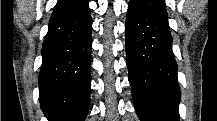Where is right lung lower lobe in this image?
<instances>
[{"instance_id":"1","label":"right lung lower lobe","mask_w":217,"mask_h":121,"mask_svg":"<svg viewBox=\"0 0 217 121\" xmlns=\"http://www.w3.org/2000/svg\"><path fill=\"white\" fill-rule=\"evenodd\" d=\"M92 19L87 0H59L42 47L39 99L49 121H84L90 103Z\"/></svg>"}]
</instances>
